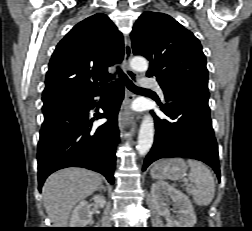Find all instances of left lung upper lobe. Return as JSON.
I'll use <instances>...</instances> for the list:
<instances>
[{
    "mask_svg": "<svg viewBox=\"0 0 252 231\" xmlns=\"http://www.w3.org/2000/svg\"><path fill=\"white\" fill-rule=\"evenodd\" d=\"M132 49L150 62L147 76H155L168 90L190 83L208 90L206 58L192 32L167 14L143 13L134 24Z\"/></svg>",
    "mask_w": 252,
    "mask_h": 231,
    "instance_id": "1",
    "label": "left lung upper lobe"
}]
</instances>
